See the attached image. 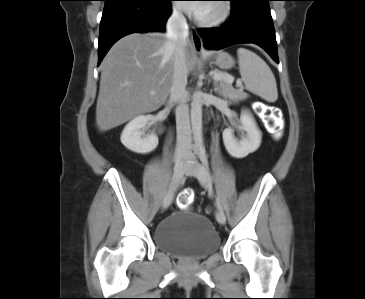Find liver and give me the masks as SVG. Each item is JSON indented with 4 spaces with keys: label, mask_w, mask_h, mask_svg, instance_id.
I'll return each mask as SVG.
<instances>
[{
    "label": "liver",
    "mask_w": 365,
    "mask_h": 299,
    "mask_svg": "<svg viewBox=\"0 0 365 299\" xmlns=\"http://www.w3.org/2000/svg\"><path fill=\"white\" fill-rule=\"evenodd\" d=\"M174 53L167 35L161 33H134L113 45L101 64L96 106L100 131L156 111L166 102L173 81ZM185 60L188 72L192 71L195 52L189 40Z\"/></svg>",
    "instance_id": "6515ba94"
}]
</instances>
